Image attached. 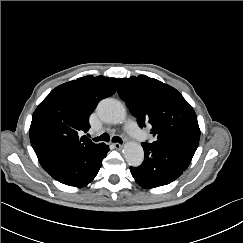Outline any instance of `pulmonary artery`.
Listing matches in <instances>:
<instances>
[{
	"label": "pulmonary artery",
	"mask_w": 243,
	"mask_h": 243,
	"mask_svg": "<svg viewBox=\"0 0 243 243\" xmlns=\"http://www.w3.org/2000/svg\"><path fill=\"white\" fill-rule=\"evenodd\" d=\"M124 129L125 132L135 140H138L142 135L141 131L139 130V127L132 119H128L124 126Z\"/></svg>",
	"instance_id": "1"
}]
</instances>
